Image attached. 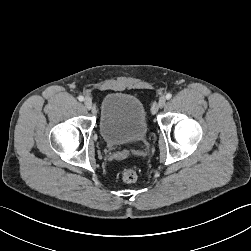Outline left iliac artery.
I'll return each mask as SVG.
<instances>
[{
  "label": "left iliac artery",
  "mask_w": 251,
  "mask_h": 251,
  "mask_svg": "<svg viewBox=\"0 0 251 251\" xmlns=\"http://www.w3.org/2000/svg\"><path fill=\"white\" fill-rule=\"evenodd\" d=\"M171 97H172V94L171 93H168V94H166V99H171Z\"/></svg>",
  "instance_id": "44dca946"
}]
</instances>
